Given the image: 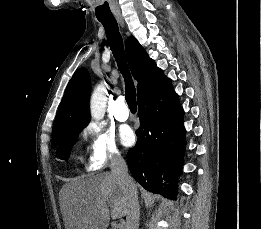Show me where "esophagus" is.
<instances>
[{"instance_id":"1","label":"esophagus","mask_w":261,"mask_h":229,"mask_svg":"<svg viewBox=\"0 0 261 229\" xmlns=\"http://www.w3.org/2000/svg\"><path fill=\"white\" fill-rule=\"evenodd\" d=\"M116 18L118 20V22L120 23V25L123 27L124 26V20L122 15H116Z\"/></svg>"}]
</instances>
